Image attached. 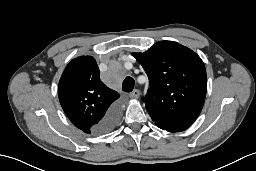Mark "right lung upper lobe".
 <instances>
[{
	"instance_id": "obj_1",
	"label": "right lung upper lobe",
	"mask_w": 256,
	"mask_h": 171,
	"mask_svg": "<svg viewBox=\"0 0 256 171\" xmlns=\"http://www.w3.org/2000/svg\"><path fill=\"white\" fill-rule=\"evenodd\" d=\"M99 75L95 59L81 56L66 66L59 81L58 96L64 112L77 128L88 134L104 131L101 122L120 97Z\"/></svg>"
}]
</instances>
